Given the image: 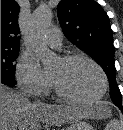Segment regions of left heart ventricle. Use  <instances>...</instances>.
<instances>
[{
	"instance_id": "b2bd125f",
	"label": "left heart ventricle",
	"mask_w": 123,
	"mask_h": 130,
	"mask_svg": "<svg viewBox=\"0 0 123 130\" xmlns=\"http://www.w3.org/2000/svg\"><path fill=\"white\" fill-rule=\"evenodd\" d=\"M60 87L76 98H90L100 93L102 79L97 69L84 60L63 62L57 60L49 69Z\"/></svg>"
}]
</instances>
